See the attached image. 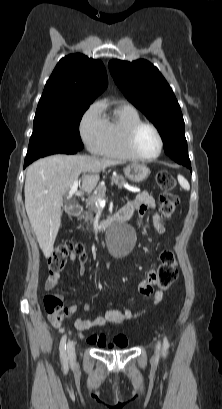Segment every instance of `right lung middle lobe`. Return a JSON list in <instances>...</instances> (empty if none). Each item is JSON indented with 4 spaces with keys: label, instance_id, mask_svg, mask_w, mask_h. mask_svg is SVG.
<instances>
[{
    "label": "right lung middle lobe",
    "instance_id": "1",
    "mask_svg": "<svg viewBox=\"0 0 222 409\" xmlns=\"http://www.w3.org/2000/svg\"><path fill=\"white\" fill-rule=\"evenodd\" d=\"M89 104L37 109L25 163L51 154H74L83 148L79 123Z\"/></svg>",
    "mask_w": 222,
    "mask_h": 409
}]
</instances>
